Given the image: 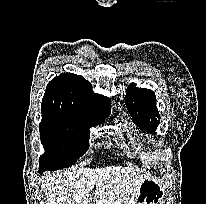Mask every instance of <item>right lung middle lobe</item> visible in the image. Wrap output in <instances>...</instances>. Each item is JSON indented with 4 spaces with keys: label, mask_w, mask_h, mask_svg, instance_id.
<instances>
[{
    "label": "right lung middle lobe",
    "mask_w": 206,
    "mask_h": 204,
    "mask_svg": "<svg viewBox=\"0 0 206 204\" xmlns=\"http://www.w3.org/2000/svg\"><path fill=\"white\" fill-rule=\"evenodd\" d=\"M41 111L39 130L45 153L39 159V167L45 171L75 164L88 149L90 127L105 120L58 109Z\"/></svg>",
    "instance_id": "right-lung-middle-lobe-1"
}]
</instances>
